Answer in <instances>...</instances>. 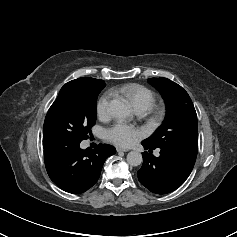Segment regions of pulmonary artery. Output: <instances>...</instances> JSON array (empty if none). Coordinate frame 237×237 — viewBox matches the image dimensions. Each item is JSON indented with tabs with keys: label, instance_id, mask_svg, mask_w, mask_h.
Segmentation results:
<instances>
[{
	"label": "pulmonary artery",
	"instance_id": "e3ab8cb5",
	"mask_svg": "<svg viewBox=\"0 0 237 237\" xmlns=\"http://www.w3.org/2000/svg\"><path fill=\"white\" fill-rule=\"evenodd\" d=\"M136 112L139 114V115H143L145 112H146V110H144V109H136ZM158 154V153H157Z\"/></svg>",
	"mask_w": 237,
	"mask_h": 237
}]
</instances>
